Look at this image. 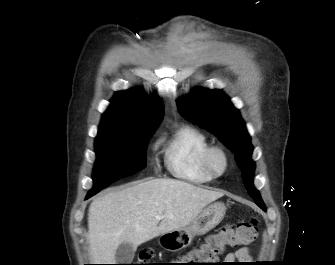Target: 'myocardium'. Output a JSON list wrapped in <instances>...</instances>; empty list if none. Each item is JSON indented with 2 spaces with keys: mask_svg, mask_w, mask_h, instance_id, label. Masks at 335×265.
<instances>
[{
  "mask_svg": "<svg viewBox=\"0 0 335 265\" xmlns=\"http://www.w3.org/2000/svg\"><path fill=\"white\" fill-rule=\"evenodd\" d=\"M216 156H220L223 160V167L221 169H217L214 165V158ZM202 163L204 168L210 174H212L214 177H220L227 172L230 166V159L227 151L223 147L210 146L203 155Z\"/></svg>",
  "mask_w": 335,
  "mask_h": 265,
  "instance_id": "myocardium-1",
  "label": "myocardium"
}]
</instances>
